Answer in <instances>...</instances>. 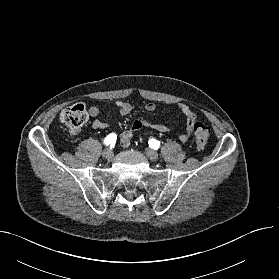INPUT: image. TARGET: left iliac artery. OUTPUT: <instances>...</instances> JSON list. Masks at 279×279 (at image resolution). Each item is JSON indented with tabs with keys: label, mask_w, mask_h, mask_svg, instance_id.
Wrapping results in <instances>:
<instances>
[{
	"label": "left iliac artery",
	"mask_w": 279,
	"mask_h": 279,
	"mask_svg": "<svg viewBox=\"0 0 279 279\" xmlns=\"http://www.w3.org/2000/svg\"><path fill=\"white\" fill-rule=\"evenodd\" d=\"M148 143L149 146L153 149H158L160 147V142L156 139H150Z\"/></svg>",
	"instance_id": "left-iliac-artery-1"
}]
</instances>
